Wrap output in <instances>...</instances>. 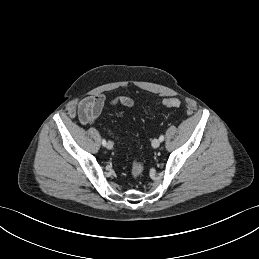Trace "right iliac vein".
Wrapping results in <instances>:
<instances>
[{"instance_id":"1","label":"right iliac vein","mask_w":259,"mask_h":259,"mask_svg":"<svg viewBox=\"0 0 259 259\" xmlns=\"http://www.w3.org/2000/svg\"><path fill=\"white\" fill-rule=\"evenodd\" d=\"M106 147L107 149H112L113 148V143L111 141H109L107 144H106Z\"/></svg>"}]
</instances>
